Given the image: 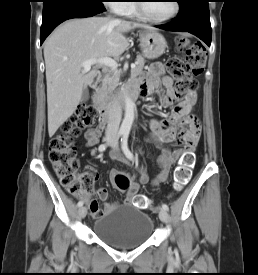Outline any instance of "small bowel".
I'll return each mask as SVG.
<instances>
[{
    "instance_id": "1",
    "label": "small bowel",
    "mask_w": 258,
    "mask_h": 275,
    "mask_svg": "<svg viewBox=\"0 0 258 275\" xmlns=\"http://www.w3.org/2000/svg\"><path fill=\"white\" fill-rule=\"evenodd\" d=\"M159 86L166 91L160 99V104L165 107L172 105L177 98L173 87V79L171 76L165 74L164 66L160 62L152 64L149 67L147 74L128 84V87L139 88L141 96L151 94ZM196 100V94L191 93L184 101L178 103L173 108L168 119H153L150 121V133L147 135L146 139L148 142L156 145L161 151L157 158V164L161 171L152 181V185H157L166 181L172 165L182 155L191 151L195 147L200 136V122L198 118L192 114ZM103 129V125H99L95 128L89 129L85 133L86 144L89 148H93L98 144ZM170 145H182V147L171 150L169 148ZM110 157L113 160H119L125 164L134 166L139 173L138 177L135 174H129V187L124 199V203L129 205L133 202V199L141 186L149 182V175L144 167L123 159L115 153H112ZM90 170L93 169L90 168ZM117 174L118 173L115 170L110 172V178L114 184V179ZM107 197L108 190L105 187L98 188L95 198H90L89 196L84 197V200L94 217H100L115 209L116 204L112 202L105 203L104 209H100L98 200L104 201Z\"/></svg>"
}]
</instances>
